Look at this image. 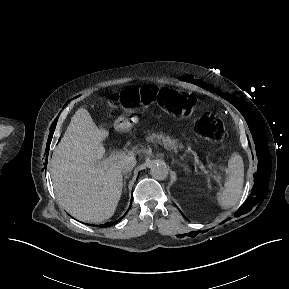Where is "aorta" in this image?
Listing matches in <instances>:
<instances>
[{
	"instance_id": "762f6f07",
	"label": "aorta",
	"mask_w": 289,
	"mask_h": 289,
	"mask_svg": "<svg viewBox=\"0 0 289 289\" xmlns=\"http://www.w3.org/2000/svg\"><path fill=\"white\" fill-rule=\"evenodd\" d=\"M168 168L162 163L152 165L150 169L151 176L156 180H164L168 176Z\"/></svg>"
}]
</instances>
